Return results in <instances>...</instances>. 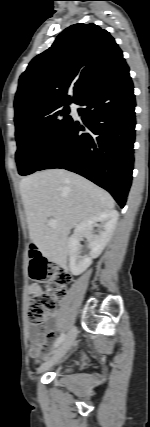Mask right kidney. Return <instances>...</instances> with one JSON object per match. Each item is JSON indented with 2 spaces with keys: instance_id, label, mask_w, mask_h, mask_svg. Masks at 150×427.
<instances>
[{
  "instance_id": "obj_1",
  "label": "right kidney",
  "mask_w": 150,
  "mask_h": 427,
  "mask_svg": "<svg viewBox=\"0 0 150 427\" xmlns=\"http://www.w3.org/2000/svg\"><path fill=\"white\" fill-rule=\"evenodd\" d=\"M118 212L116 210L105 211L92 218L80 222L69 238V268L73 275H80L97 258L109 241L117 224ZM98 234H93V226L98 223ZM84 235L91 242V250L88 255H81L80 237Z\"/></svg>"
}]
</instances>
